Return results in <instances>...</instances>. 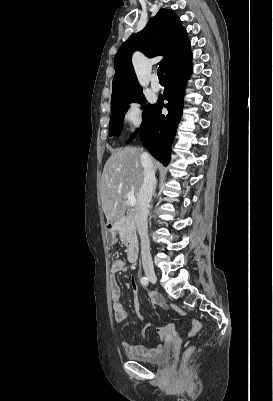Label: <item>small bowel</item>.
<instances>
[{"mask_svg": "<svg viewBox=\"0 0 273 401\" xmlns=\"http://www.w3.org/2000/svg\"><path fill=\"white\" fill-rule=\"evenodd\" d=\"M111 272L113 275L120 273L126 269V261L121 258L117 257L115 260L112 261L111 266H110ZM130 285L132 288V291L135 295L136 298L139 297V287L135 281V279L132 277L130 279ZM110 294H111V299H112V308H113V313H114V320L116 323H123L126 318H127V313L123 307V304L121 302V287L116 279L115 276H113L110 280ZM152 303L154 306L160 309H166L168 308V304L166 303L165 299L163 296L156 294L152 297L151 299ZM174 312L178 313V316L180 319H187L189 316V313L187 310H181L180 306H175L173 307ZM136 318L140 321L144 319V315L140 310V305L137 303L136 304ZM169 327H172L169 329ZM148 328V327H146ZM201 328V320L199 318H195L193 320V323L191 324V327L189 328V335L191 338H196L199 329ZM157 333L160 335L162 339V344L158 345L154 350L152 351H147L145 348L137 345H132L128 341H123L122 342V348L125 352L133 355H151L156 351H160L162 349H168L171 345V340L172 338H176L179 336V333L175 331L174 326L171 324L168 325H160L156 327ZM170 332V333H169ZM169 333V337L168 334Z\"/></svg>", "mask_w": 273, "mask_h": 401, "instance_id": "small-bowel-1", "label": "small bowel"}]
</instances>
